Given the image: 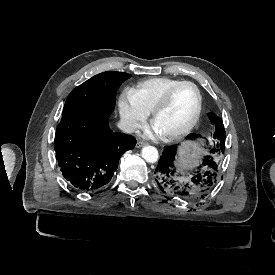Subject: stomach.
Returning a JSON list of instances; mask_svg holds the SVG:
<instances>
[{
    "mask_svg": "<svg viewBox=\"0 0 275 275\" xmlns=\"http://www.w3.org/2000/svg\"><path fill=\"white\" fill-rule=\"evenodd\" d=\"M202 145L197 140H190L180 150L178 166L183 171L192 170L200 160Z\"/></svg>",
    "mask_w": 275,
    "mask_h": 275,
    "instance_id": "1",
    "label": "stomach"
}]
</instances>
